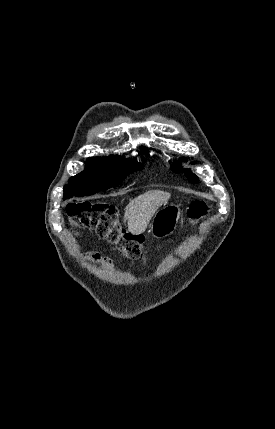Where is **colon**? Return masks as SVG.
Returning a JSON list of instances; mask_svg holds the SVG:
<instances>
[{"instance_id":"obj_1","label":"colon","mask_w":275,"mask_h":429,"mask_svg":"<svg viewBox=\"0 0 275 429\" xmlns=\"http://www.w3.org/2000/svg\"><path fill=\"white\" fill-rule=\"evenodd\" d=\"M208 211L204 202L191 203L188 209L190 223L197 224L208 215ZM66 214L74 232L79 229H93L98 236L116 244L125 257L144 259V241L119 227L113 205L105 202H72L68 204ZM89 259L106 265L111 263L109 259L98 254H90Z\"/></svg>"}]
</instances>
